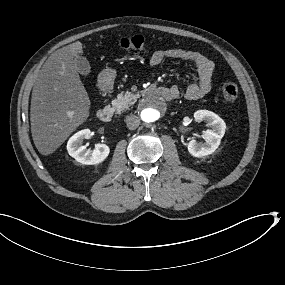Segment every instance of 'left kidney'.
I'll return each mask as SVG.
<instances>
[{"label":"left kidney","mask_w":285,"mask_h":285,"mask_svg":"<svg viewBox=\"0 0 285 285\" xmlns=\"http://www.w3.org/2000/svg\"><path fill=\"white\" fill-rule=\"evenodd\" d=\"M196 121H205L212 129H208L203 133L204 143L191 140L188 143V151L194 157H202L212 154L220 145L221 139L225 134L226 124L214 112L208 110H198L194 113Z\"/></svg>","instance_id":"obj_1"}]
</instances>
